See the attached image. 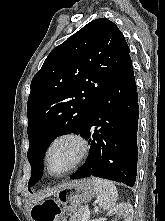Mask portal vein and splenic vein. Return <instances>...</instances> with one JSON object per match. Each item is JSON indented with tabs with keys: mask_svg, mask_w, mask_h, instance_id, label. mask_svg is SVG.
<instances>
[{
	"mask_svg": "<svg viewBox=\"0 0 165 221\" xmlns=\"http://www.w3.org/2000/svg\"><path fill=\"white\" fill-rule=\"evenodd\" d=\"M84 212H85L84 213L85 214L84 220L87 221L89 209L88 208H84Z\"/></svg>",
	"mask_w": 165,
	"mask_h": 221,
	"instance_id": "1",
	"label": "portal vein and splenic vein"
}]
</instances>
